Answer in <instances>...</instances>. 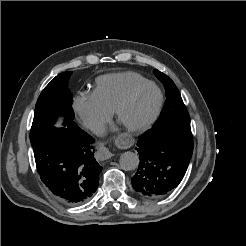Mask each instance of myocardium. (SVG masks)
<instances>
[{
	"mask_svg": "<svg viewBox=\"0 0 246 246\" xmlns=\"http://www.w3.org/2000/svg\"><path fill=\"white\" fill-rule=\"evenodd\" d=\"M146 88H153L157 93L156 101L150 115L143 122L136 125H129V124L122 123L121 115L125 110V108L130 104V102L139 92H141ZM162 104H163V92L161 88L155 82L146 81L144 83L136 85L125 94V96L116 105L114 109V115L116 120L119 121L127 131L132 133H140L147 130L149 127L153 125V123L156 121L157 117L159 116Z\"/></svg>",
	"mask_w": 246,
	"mask_h": 246,
	"instance_id": "myocardium-1",
	"label": "myocardium"
}]
</instances>
